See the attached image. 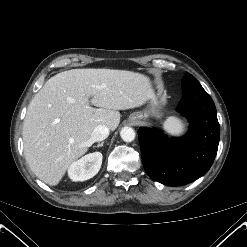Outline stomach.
<instances>
[{
    "instance_id": "1",
    "label": "stomach",
    "mask_w": 247,
    "mask_h": 247,
    "mask_svg": "<svg viewBox=\"0 0 247 247\" xmlns=\"http://www.w3.org/2000/svg\"><path fill=\"white\" fill-rule=\"evenodd\" d=\"M161 115V102L157 96H153L149 101V108L144 111L134 112L130 115L129 120L132 121L134 118L147 119L149 116L158 117Z\"/></svg>"
}]
</instances>
